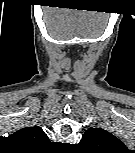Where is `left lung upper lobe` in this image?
Segmentation results:
<instances>
[{
  "label": "left lung upper lobe",
  "mask_w": 135,
  "mask_h": 153,
  "mask_svg": "<svg viewBox=\"0 0 135 153\" xmlns=\"http://www.w3.org/2000/svg\"><path fill=\"white\" fill-rule=\"evenodd\" d=\"M79 145L92 153H119L126 150L119 139L101 128L87 130Z\"/></svg>",
  "instance_id": "obj_1"
}]
</instances>
